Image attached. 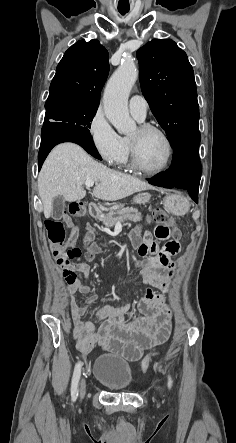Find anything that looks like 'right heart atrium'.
<instances>
[{"mask_svg": "<svg viewBox=\"0 0 236 443\" xmlns=\"http://www.w3.org/2000/svg\"><path fill=\"white\" fill-rule=\"evenodd\" d=\"M87 130L92 146L107 164H122L126 153L124 140L114 130L102 110L98 109L93 114Z\"/></svg>", "mask_w": 236, "mask_h": 443, "instance_id": "obj_1", "label": "right heart atrium"}]
</instances>
